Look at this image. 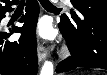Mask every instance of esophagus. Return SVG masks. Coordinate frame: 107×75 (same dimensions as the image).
Returning a JSON list of instances; mask_svg holds the SVG:
<instances>
[{
    "mask_svg": "<svg viewBox=\"0 0 107 75\" xmlns=\"http://www.w3.org/2000/svg\"><path fill=\"white\" fill-rule=\"evenodd\" d=\"M37 54H38L39 62H42L47 58V49L43 46L41 42L38 43Z\"/></svg>",
    "mask_w": 107,
    "mask_h": 75,
    "instance_id": "34e87169",
    "label": "esophagus"
}]
</instances>
